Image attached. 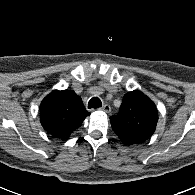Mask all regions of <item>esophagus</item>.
Returning a JSON list of instances; mask_svg holds the SVG:
<instances>
[{
  "instance_id": "obj_1",
  "label": "esophagus",
  "mask_w": 195,
  "mask_h": 195,
  "mask_svg": "<svg viewBox=\"0 0 195 195\" xmlns=\"http://www.w3.org/2000/svg\"><path fill=\"white\" fill-rule=\"evenodd\" d=\"M99 110L104 111L105 113H109L111 111V107L108 104L103 105Z\"/></svg>"
}]
</instances>
